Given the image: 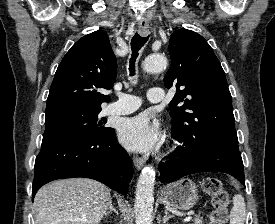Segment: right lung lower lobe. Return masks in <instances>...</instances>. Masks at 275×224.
I'll use <instances>...</instances> for the list:
<instances>
[{
  "instance_id": "obj_1",
  "label": "right lung lower lobe",
  "mask_w": 275,
  "mask_h": 224,
  "mask_svg": "<svg viewBox=\"0 0 275 224\" xmlns=\"http://www.w3.org/2000/svg\"><path fill=\"white\" fill-rule=\"evenodd\" d=\"M132 174L129 155L118 143L113 128L94 139L43 138L35 160L32 199L44 184L75 177L95 179L127 194Z\"/></svg>"
}]
</instances>
